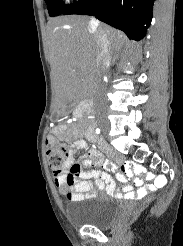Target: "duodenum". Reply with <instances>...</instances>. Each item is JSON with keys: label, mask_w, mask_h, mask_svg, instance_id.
<instances>
[{"label": "duodenum", "mask_w": 183, "mask_h": 246, "mask_svg": "<svg viewBox=\"0 0 183 246\" xmlns=\"http://www.w3.org/2000/svg\"><path fill=\"white\" fill-rule=\"evenodd\" d=\"M75 107L76 108H74V111H71V116H80V113H85V109L88 108V105L76 104ZM87 138H89L90 141H96L97 144H100V147L103 148L104 151L108 150V147L105 146L103 140L97 136V133H87Z\"/></svg>", "instance_id": "duodenum-1"}]
</instances>
